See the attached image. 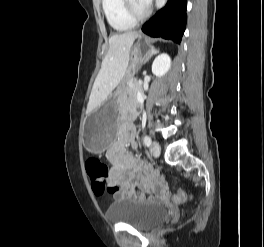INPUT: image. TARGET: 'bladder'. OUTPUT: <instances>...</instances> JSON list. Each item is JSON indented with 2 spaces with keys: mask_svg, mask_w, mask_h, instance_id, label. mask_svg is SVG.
Instances as JSON below:
<instances>
[{
  "mask_svg": "<svg viewBox=\"0 0 264 247\" xmlns=\"http://www.w3.org/2000/svg\"><path fill=\"white\" fill-rule=\"evenodd\" d=\"M113 223H124L137 229L149 230L168 219L167 210L154 202L122 198L112 202L106 213Z\"/></svg>",
  "mask_w": 264,
  "mask_h": 247,
  "instance_id": "obj_1",
  "label": "bladder"
}]
</instances>
